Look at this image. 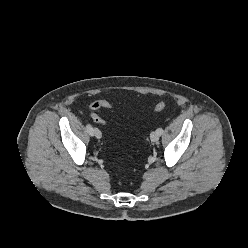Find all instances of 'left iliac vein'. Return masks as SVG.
<instances>
[{"label":"left iliac vein","mask_w":248,"mask_h":248,"mask_svg":"<svg viewBox=\"0 0 248 248\" xmlns=\"http://www.w3.org/2000/svg\"><path fill=\"white\" fill-rule=\"evenodd\" d=\"M159 134L157 133V131H153L151 134H150V139L152 142H157L159 140Z\"/></svg>","instance_id":"1"}]
</instances>
